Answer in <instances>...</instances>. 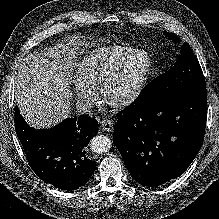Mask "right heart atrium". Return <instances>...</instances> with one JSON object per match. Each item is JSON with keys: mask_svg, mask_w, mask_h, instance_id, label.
I'll return each mask as SVG.
<instances>
[{"mask_svg": "<svg viewBox=\"0 0 219 219\" xmlns=\"http://www.w3.org/2000/svg\"><path fill=\"white\" fill-rule=\"evenodd\" d=\"M74 89L80 103L85 107L92 106L97 98V92L94 88L88 86L80 79L74 81Z\"/></svg>", "mask_w": 219, "mask_h": 219, "instance_id": "d8ad5b80", "label": "right heart atrium"}]
</instances>
